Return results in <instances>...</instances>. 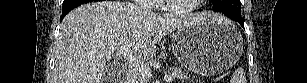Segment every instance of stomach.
<instances>
[{
	"label": "stomach",
	"instance_id": "1",
	"mask_svg": "<svg viewBox=\"0 0 307 83\" xmlns=\"http://www.w3.org/2000/svg\"><path fill=\"white\" fill-rule=\"evenodd\" d=\"M172 51L185 69L213 76L229 69L239 59L243 38L230 22H199L183 26L173 34Z\"/></svg>",
	"mask_w": 307,
	"mask_h": 83
}]
</instances>
